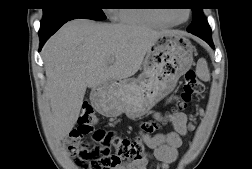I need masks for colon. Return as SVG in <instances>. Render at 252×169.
Segmentation results:
<instances>
[{"mask_svg":"<svg viewBox=\"0 0 252 169\" xmlns=\"http://www.w3.org/2000/svg\"><path fill=\"white\" fill-rule=\"evenodd\" d=\"M203 84L196 72L189 69L184 74L180 106H187L193 96L202 93ZM97 116L89 104L82 107L78 126L66 139L67 149L78 169H115L122 161H139L144 158L146 149L140 138H128L111 130H98L94 133L97 145L82 140L91 133L97 124ZM157 129L155 122L147 121L141 125L144 134H151ZM114 150V152H112Z\"/></svg>","mask_w":252,"mask_h":169,"instance_id":"colon-1","label":"colon"}]
</instances>
